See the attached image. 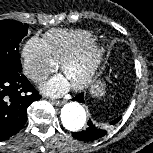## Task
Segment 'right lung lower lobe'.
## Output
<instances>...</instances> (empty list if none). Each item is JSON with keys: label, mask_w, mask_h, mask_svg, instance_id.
Returning a JSON list of instances; mask_svg holds the SVG:
<instances>
[{"label": "right lung lower lobe", "mask_w": 153, "mask_h": 153, "mask_svg": "<svg viewBox=\"0 0 153 153\" xmlns=\"http://www.w3.org/2000/svg\"><path fill=\"white\" fill-rule=\"evenodd\" d=\"M40 98L21 71L0 66V140L23 128L28 106Z\"/></svg>", "instance_id": "right-lung-lower-lobe-1"}]
</instances>
